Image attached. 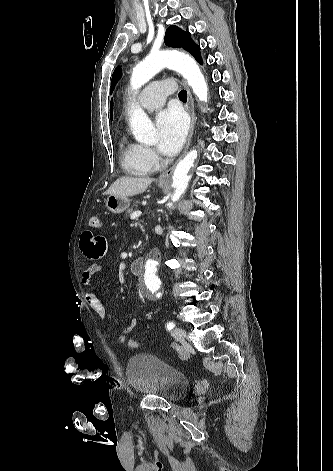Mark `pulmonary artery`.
<instances>
[{"mask_svg": "<svg viewBox=\"0 0 333 471\" xmlns=\"http://www.w3.org/2000/svg\"><path fill=\"white\" fill-rule=\"evenodd\" d=\"M172 92V81H155L143 90L139 96V103L146 110H155L164 104L166 97Z\"/></svg>", "mask_w": 333, "mask_h": 471, "instance_id": "e3ab8cb5", "label": "pulmonary artery"}]
</instances>
